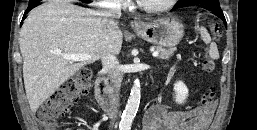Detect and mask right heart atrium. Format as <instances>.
Instances as JSON below:
<instances>
[{"mask_svg": "<svg viewBox=\"0 0 257 130\" xmlns=\"http://www.w3.org/2000/svg\"><path fill=\"white\" fill-rule=\"evenodd\" d=\"M128 2L129 0H105L103 3L110 7H124Z\"/></svg>", "mask_w": 257, "mask_h": 130, "instance_id": "d8ad5b80", "label": "right heart atrium"}]
</instances>
